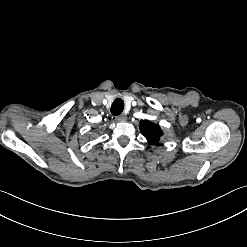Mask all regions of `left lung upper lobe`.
Masks as SVG:
<instances>
[{"mask_svg":"<svg viewBox=\"0 0 247 247\" xmlns=\"http://www.w3.org/2000/svg\"><path fill=\"white\" fill-rule=\"evenodd\" d=\"M140 131L147 139L149 144L158 145L161 135L163 134L160 127L147 120L140 122Z\"/></svg>","mask_w":247,"mask_h":247,"instance_id":"5c2ea615","label":"left lung upper lobe"}]
</instances>
